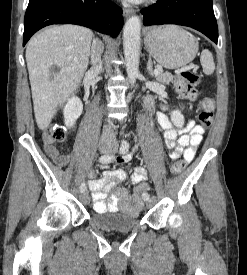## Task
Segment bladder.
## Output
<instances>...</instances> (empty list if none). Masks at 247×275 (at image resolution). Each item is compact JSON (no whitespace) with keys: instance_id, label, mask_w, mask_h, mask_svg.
<instances>
[{"instance_id":"1","label":"bladder","mask_w":247,"mask_h":275,"mask_svg":"<svg viewBox=\"0 0 247 275\" xmlns=\"http://www.w3.org/2000/svg\"><path fill=\"white\" fill-rule=\"evenodd\" d=\"M92 222L98 228L109 232H129L139 224L138 216H132L120 212H96L92 216Z\"/></svg>"}]
</instances>
